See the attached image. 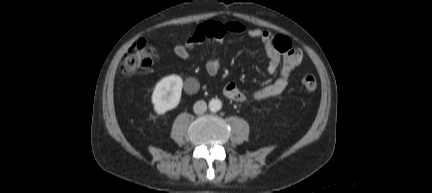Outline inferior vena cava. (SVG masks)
<instances>
[{
	"label": "inferior vena cava",
	"mask_w": 432,
	"mask_h": 193,
	"mask_svg": "<svg viewBox=\"0 0 432 193\" xmlns=\"http://www.w3.org/2000/svg\"><path fill=\"white\" fill-rule=\"evenodd\" d=\"M193 110L196 114H202L207 110V104L203 100H199L194 104Z\"/></svg>",
	"instance_id": "obj_1"
}]
</instances>
